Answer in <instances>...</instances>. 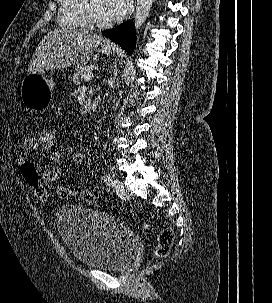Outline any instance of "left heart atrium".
I'll return each mask as SVG.
<instances>
[{"instance_id":"39dd6f15","label":"left heart atrium","mask_w":272,"mask_h":303,"mask_svg":"<svg viewBox=\"0 0 272 303\" xmlns=\"http://www.w3.org/2000/svg\"><path fill=\"white\" fill-rule=\"evenodd\" d=\"M129 0H104V12L107 20L117 21L126 14Z\"/></svg>"}]
</instances>
